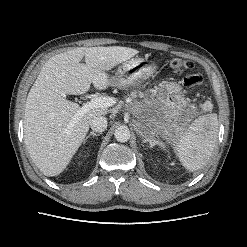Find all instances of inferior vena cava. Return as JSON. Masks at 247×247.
Segmentation results:
<instances>
[{
    "instance_id": "602c4592",
    "label": "inferior vena cava",
    "mask_w": 247,
    "mask_h": 247,
    "mask_svg": "<svg viewBox=\"0 0 247 247\" xmlns=\"http://www.w3.org/2000/svg\"><path fill=\"white\" fill-rule=\"evenodd\" d=\"M91 129L95 132H103L107 128V119L104 116H95L90 122Z\"/></svg>"
}]
</instances>
